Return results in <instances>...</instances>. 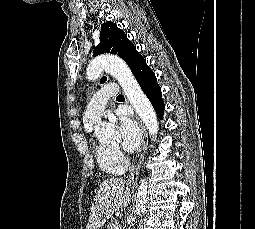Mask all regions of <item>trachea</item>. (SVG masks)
<instances>
[{
    "label": "trachea",
    "instance_id": "trachea-1",
    "mask_svg": "<svg viewBox=\"0 0 255 229\" xmlns=\"http://www.w3.org/2000/svg\"><path fill=\"white\" fill-rule=\"evenodd\" d=\"M116 98H117V99L123 98V96H122V95H118Z\"/></svg>",
    "mask_w": 255,
    "mask_h": 229
}]
</instances>
